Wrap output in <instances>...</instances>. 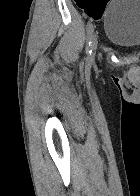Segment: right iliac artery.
Listing matches in <instances>:
<instances>
[{"mask_svg":"<svg viewBox=\"0 0 140 196\" xmlns=\"http://www.w3.org/2000/svg\"><path fill=\"white\" fill-rule=\"evenodd\" d=\"M94 31V27L91 22H89L87 26V44H86V52L88 54H91V38H92V33Z\"/></svg>","mask_w":140,"mask_h":196,"instance_id":"right-iliac-artery-1","label":"right iliac artery"}]
</instances>
